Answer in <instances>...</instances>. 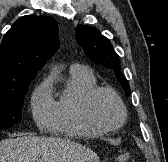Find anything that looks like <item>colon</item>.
<instances>
[{
	"instance_id": "1",
	"label": "colon",
	"mask_w": 168,
	"mask_h": 162,
	"mask_svg": "<svg viewBox=\"0 0 168 162\" xmlns=\"http://www.w3.org/2000/svg\"><path fill=\"white\" fill-rule=\"evenodd\" d=\"M118 162H131L129 154H120L117 157Z\"/></svg>"
}]
</instances>
